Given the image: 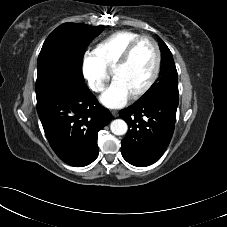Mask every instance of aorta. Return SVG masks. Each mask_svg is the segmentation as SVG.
Returning a JSON list of instances; mask_svg holds the SVG:
<instances>
[{
	"label": "aorta",
	"mask_w": 227,
	"mask_h": 227,
	"mask_svg": "<svg viewBox=\"0 0 227 227\" xmlns=\"http://www.w3.org/2000/svg\"><path fill=\"white\" fill-rule=\"evenodd\" d=\"M128 126L122 119H116L111 122L110 130L115 135H124L127 132Z\"/></svg>",
	"instance_id": "aorta-1"
}]
</instances>
